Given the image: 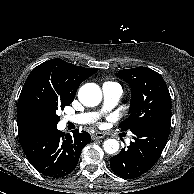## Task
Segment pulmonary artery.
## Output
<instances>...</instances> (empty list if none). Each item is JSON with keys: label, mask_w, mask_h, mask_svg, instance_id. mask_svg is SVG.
Masks as SVG:
<instances>
[{"label": "pulmonary artery", "mask_w": 194, "mask_h": 194, "mask_svg": "<svg viewBox=\"0 0 194 194\" xmlns=\"http://www.w3.org/2000/svg\"><path fill=\"white\" fill-rule=\"evenodd\" d=\"M102 92L104 98L103 110L106 111L112 109L118 103L122 95V90L118 85L107 82L103 84ZM97 117L98 113L88 112L68 116L66 117V120L77 124H89L94 122Z\"/></svg>", "instance_id": "1"}]
</instances>
